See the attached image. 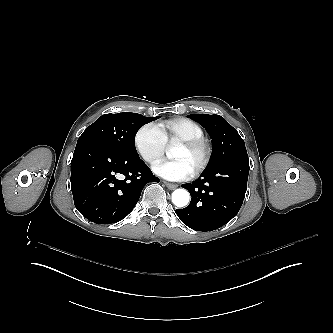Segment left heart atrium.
Segmentation results:
<instances>
[{
	"label": "left heart atrium",
	"instance_id": "obj_1",
	"mask_svg": "<svg viewBox=\"0 0 333 333\" xmlns=\"http://www.w3.org/2000/svg\"><path fill=\"white\" fill-rule=\"evenodd\" d=\"M154 171L157 175L171 181L189 180L195 174L194 168L182 160L164 161L158 164Z\"/></svg>",
	"mask_w": 333,
	"mask_h": 333
}]
</instances>
